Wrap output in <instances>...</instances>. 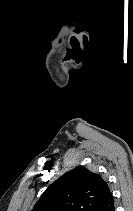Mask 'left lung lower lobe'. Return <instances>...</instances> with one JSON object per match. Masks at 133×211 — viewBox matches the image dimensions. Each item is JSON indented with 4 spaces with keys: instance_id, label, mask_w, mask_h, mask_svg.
I'll list each match as a JSON object with an SVG mask.
<instances>
[{
    "instance_id": "0a47b994",
    "label": "left lung lower lobe",
    "mask_w": 133,
    "mask_h": 211,
    "mask_svg": "<svg viewBox=\"0 0 133 211\" xmlns=\"http://www.w3.org/2000/svg\"><path fill=\"white\" fill-rule=\"evenodd\" d=\"M94 211H115L114 200L112 194H110Z\"/></svg>"
}]
</instances>
